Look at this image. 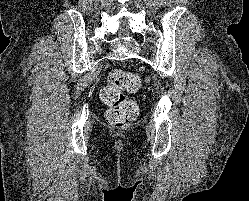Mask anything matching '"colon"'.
<instances>
[{
  "label": "colon",
  "instance_id": "5ec220e1",
  "mask_svg": "<svg viewBox=\"0 0 249 201\" xmlns=\"http://www.w3.org/2000/svg\"><path fill=\"white\" fill-rule=\"evenodd\" d=\"M139 86V77L124 70L114 69L108 74L107 84L101 90L100 97L108 106L105 118L109 126L125 128L136 120L138 105L124 92L136 91Z\"/></svg>",
  "mask_w": 249,
  "mask_h": 201
}]
</instances>
